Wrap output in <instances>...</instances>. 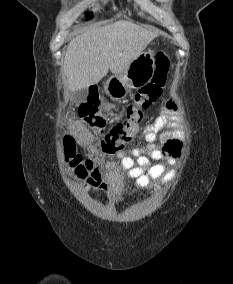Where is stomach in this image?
I'll use <instances>...</instances> for the list:
<instances>
[{"mask_svg": "<svg viewBox=\"0 0 233 284\" xmlns=\"http://www.w3.org/2000/svg\"><path fill=\"white\" fill-rule=\"evenodd\" d=\"M155 69L154 55L143 52L119 75L111 76L104 85L105 93L113 100L124 99L131 88H139L151 80Z\"/></svg>", "mask_w": 233, "mask_h": 284, "instance_id": "stomach-1", "label": "stomach"}]
</instances>
